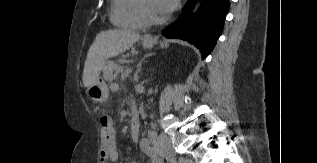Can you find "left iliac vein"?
Returning <instances> with one entry per match:
<instances>
[{
	"label": "left iliac vein",
	"instance_id": "1",
	"mask_svg": "<svg viewBox=\"0 0 317 163\" xmlns=\"http://www.w3.org/2000/svg\"><path fill=\"white\" fill-rule=\"evenodd\" d=\"M171 157L172 159H175L173 156H172V153L171 152H169V154H168V157ZM176 163H194L192 160H190V159H187V160H184V161H176Z\"/></svg>",
	"mask_w": 317,
	"mask_h": 163
}]
</instances>
